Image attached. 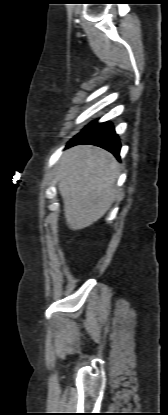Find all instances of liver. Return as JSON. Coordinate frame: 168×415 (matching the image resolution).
I'll return each mask as SVG.
<instances>
[{
  "label": "liver",
  "mask_w": 168,
  "mask_h": 415,
  "mask_svg": "<svg viewBox=\"0 0 168 415\" xmlns=\"http://www.w3.org/2000/svg\"><path fill=\"white\" fill-rule=\"evenodd\" d=\"M118 176L119 163L104 149L81 145L63 154L59 161L58 189L71 230L92 225L110 209Z\"/></svg>",
  "instance_id": "6515ba94"
}]
</instances>
